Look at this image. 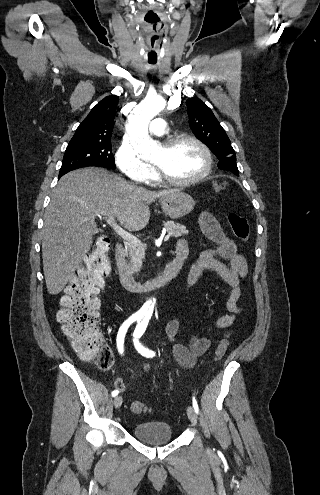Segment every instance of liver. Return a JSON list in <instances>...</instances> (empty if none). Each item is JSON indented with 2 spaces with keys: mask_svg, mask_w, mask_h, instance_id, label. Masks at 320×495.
<instances>
[{
  "mask_svg": "<svg viewBox=\"0 0 320 495\" xmlns=\"http://www.w3.org/2000/svg\"><path fill=\"white\" fill-rule=\"evenodd\" d=\"M175 191H148L101 168L62 176L51 195L42 229L48 292L59 294L80 266L97 232L96 216H114L129 231H139L149 222V205Z\"/></svg>",
  "mask_w": 320,
  "mask_h": 495,
  "instance_id": "1",
  "label": "liver"
}]
</instances>
